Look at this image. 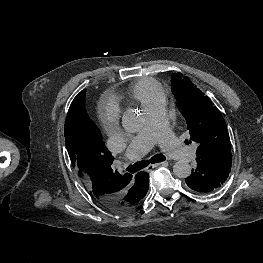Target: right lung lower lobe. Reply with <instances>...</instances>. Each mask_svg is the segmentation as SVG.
Returning <instances> with one entry per match:
<instances>
[{
	"mask_svg": "<svg viewBox=\"0 0 263 263\" xmlns=\"http://www.w3.org/2000/svg\"><path fill=\"white\" fill-rule=\"evenodd\" d=\"M148 180L149 174L146 172H140L138 176V181L141 185L145 186L148 191ZM128 200L126 196L113 198V199H106L101 202V204L106 207L107 209L113 212H121L122 209L127 205Z\"/></svg>",
	"mask_w": 263,
	"mask_h": 263,
	"instance_id": "98d812e1",
	"label": "right lung lower lobe"
}]
</instances>
